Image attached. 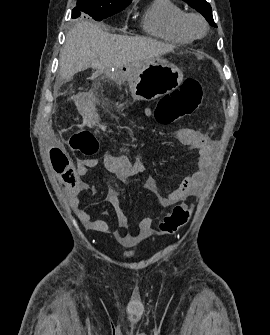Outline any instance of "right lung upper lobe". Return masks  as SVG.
Wrapping results in <instances>:
<instances>
[{"mask_svg": "<svg viewBox=\"0 0 270 335\" xmlns=\"http://www.w3.org/2000/svg\"><path fill=\"white\" fill-rule=\"evenodd\" d=\"M101 3L105 4H117V3H130L132 0H98Z\"/></svg>", "mask_w": 270, "mask_h": 335, "instance_id": "1", "label": "right lung upper lobe"}]
</instances>
